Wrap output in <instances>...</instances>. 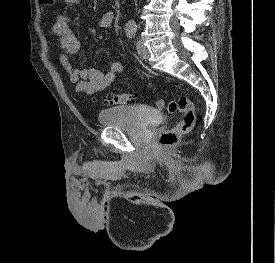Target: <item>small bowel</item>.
Here are the masks:
<instances>
[{
  "instance_id": "obj_1",
  "label": "small bowel",
  "mask_w": 275,
  "mask_h": 263,
  "mask_svg": "<svg viewBox=\"0 0 275 263\" xmlns=\"http://www.w3.org/2000/svg\"><path fill=\"white\" fill-rule=\"evenodd\" d=\"M66 3L75 4L80 0H64ZM115 14L108 11L102 14L97 25L100 28H108L114 22ZM53 32L59 38V48L62 51L60 63L67 73L69 81L75 86V91L78 93L95 94L111 85L117 74L123 71V66L120 62L114 61L110 65V70L107 73H102L95 68H78L70 61V56L79 52L81 41L76 36L70 19L66 16H61L53 24Z\"/></svg>"
}]
</instances>
